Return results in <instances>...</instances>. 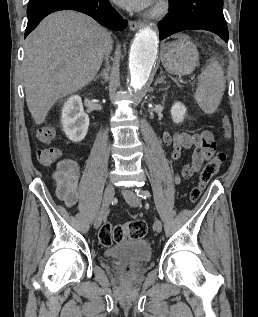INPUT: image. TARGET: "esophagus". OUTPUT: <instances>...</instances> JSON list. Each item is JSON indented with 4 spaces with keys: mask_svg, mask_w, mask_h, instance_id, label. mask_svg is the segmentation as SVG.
<instances>
[{
    "mask_svg": "<svg viewBox=\"0 0 258 317\" xmlns=\"http://www.w3.org/2000/svg\"><path fill=\"white\" fill-rule=\"evenodd\" d=\"M142 25L143 24H142V22L140 20H134V21H130L129 22V27H130V30H132V31H135L138 28H141Z\"/></svg>",
    "mask_w": 258,
    "mask_h": 317,
    "instance_id": "obj_1",
    "label": "esophagus"
}]
</instances>
